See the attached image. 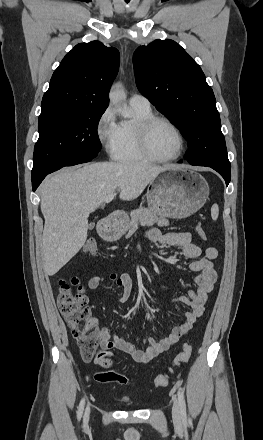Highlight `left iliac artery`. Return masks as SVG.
<instances>
[{
  "label": "left iliac artery",
  "instance_id": "1",
  "mask_svg": "<svg viewBox=\"0 0 263 440\" xmlns=\"http://www.w3.org/2000/svg\"><path fill=\"white\" fill-rule=\"evenodd\" d=\"M178 401H179V405L181 408V413H182V419L183 421H186V403H185V398L183 395V392L179 389L178 392Z\"/></svg>",
  "mask_w": 263,
  "mask_h": 440
}]
</instances>
